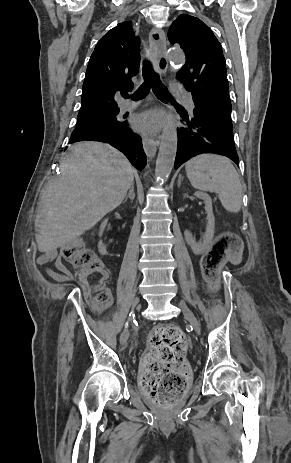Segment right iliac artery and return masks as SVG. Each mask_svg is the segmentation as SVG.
Segmentation results:
<instances>
[{"label": "right iliac artery", "mask_w": 291, "mask_h": 463, "mask_svg": "<svg viewBox=\"0 0 291 463\" xmlns=\"http://www.w3.org/2000/svg\"><path fill=\"white\" fill-rule=\"evenodd\" d=\"M129 316H134V313H133V312H131V313L129 314ZM126 324H127V323H126Z\"/></svg>", "instance_id": "1"}]
</instances>
